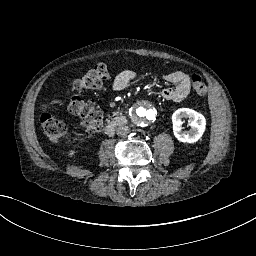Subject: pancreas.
I'll return each mask as SVG.
<instances>
[{"instance_id": "pancreas-1", "label": "pancreas", "mask_w": 256, "mask_h": 256, "mask_svg": "<svg viewBox=\"0 0 256 256\" xmlns=\"http://www.w3.org/2000/svg\"><path fill=\"white\" fill-rule=\"evenodd\" d=\"M116 112H114L112 114V116H115ZM119 116L114 118L112 121L106 120L107 122H110L112 124L118 125V124H126L127 123V116L126 115H122L121 113L118 114ZM109 118H111V116H109Z\"/></svg>"}]
</instances>
